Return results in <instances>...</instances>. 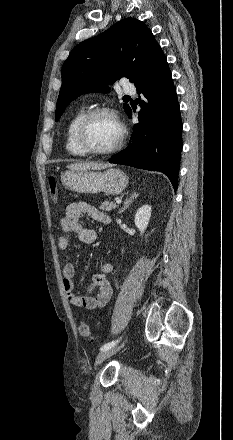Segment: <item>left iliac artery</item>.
<instances>
[{
	"mask_svg": "<svg viewBox=\"0 0 233 440\" xmlns=\"http://www.w3.org/2000/svg\"><path fill=\"white\" fill-rule=\"evenodd\" d=\"M118 342H119V340H115V341L106 343L101 347L100 350L104 351V350L110 349V348L114 347Z\"/></svg>",
	"mask_w": 233,
	"mask_h": 440,
	"instance_id": "obj_1",
	"label": "left iliac artery"
}]
</instances>
